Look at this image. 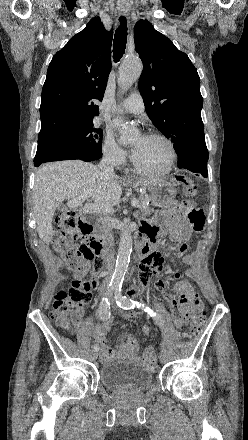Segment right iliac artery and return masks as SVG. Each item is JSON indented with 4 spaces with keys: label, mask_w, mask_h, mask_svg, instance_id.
Returning a JSON list of instances; mask_svg holds the SVG:
<instances>
[{
    "label": "right iliac artery",
    "mask_w": 248,
    "mask_h": 440,
    "mask_svg": "<svg viewBox=\"0 0 248 440\" xmlns=\"http://www.w3.org/2000/svg\"><path fill=\"white\" fill-rule=\"evenodd\" d=\"M113 291V288H108L107 292L105 293V296L102 298L99 308H98V314L101 320H107L110 318V303H109V295ZM94 351H99V346L94 345L93 346Z\"/></svg>",
    "instance_id": "obj_1"
}]
</instances>
